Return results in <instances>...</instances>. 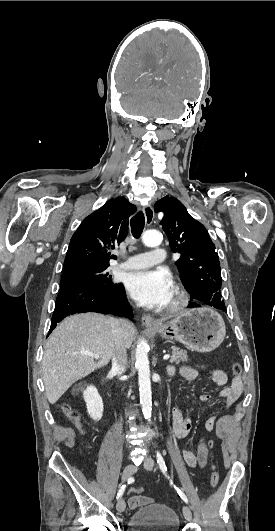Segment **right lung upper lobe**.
<instances>
[{"label":"right lung upper lobe","mask_w":275,"mask_h":531,"mask_svg":"<svg viewBox=\"0 0 275 531\" xmlns=\"http://www.w3.org/2000/svg\"><path fill=\"white\" fill-rule=\"evenodd\" d=\"M136 206L125 197L107 201L86 217L73 234L63 271L79 266H109L115 249L128 233L129 217Z\"/></svg>","instance_id":"obj_1"}]
</instances>
